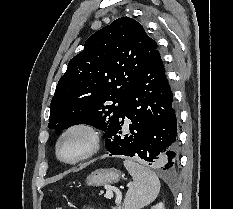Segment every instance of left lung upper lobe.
I'll return each mask as SVG.
<instances>
[{"mask_svg": "<svg viewBox=\"0 0 233 209\" xmlns=\"http://www.w3.org/2000/svg\"><path fill=\"white\" fill-rule=\"evenodd\" d=\"M84 47L56 86L50 129L88 124L106 132L123 113L130 88L158 51L142 25L129 17L95 32Z\"/></svg>", "mask_w": 233, "mask_h": 209, "instance_id": "left-lung-upper-lobe-1", "label": "left lung upper lobe"}]
</instances>
